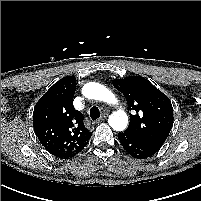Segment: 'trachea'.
<instances>
[{
	"mask_svg": "<svg viewBox=\"0 0 201 201\" xmlns=\"http://www.w3.org/2000/svg\"><path fill=\"white\" fill-rule=\"evenodd\" d=\"M90 117H91V119H92L93 121L100 117V110H99L98 107L93 106V107L90 109Z\"/></svg>",
	"mask_w": 201,
	"mask_h": 201,
	"instance_id": "1",
	"label": "trachea"
}]
</instances>
